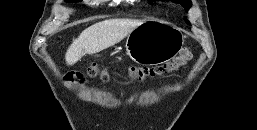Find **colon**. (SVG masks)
Instances as JSON below:
<instances>
[{
    "label": "colon",
    "mask_w": 257,
    "mask_h": 130,
    "mask_svg": "<svg viewBox=\"0 0 257 130\" xmlns=\"http://www.w3.org/2000/svg\"><path fill=\"white\" fill-rule=\"evenodd\" d=\"M192 58V51L190 48H183L180 53L169 62L153 67H131L128 70V74L132 79L144 80L146 78H154L165 73L177 71L183 67ZM87 74L90 77H99L103 81L110 79V74L107 70L99 68L97 65H90L87 70ZM69 81H76L83 83L85 78L82 72H75L68 75Z\"/></svg>",
    "instance_id": "obj_1"
}]
</instances>
